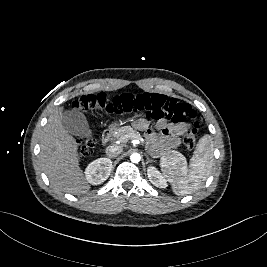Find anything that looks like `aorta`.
Returning <instances> with one entry per match:
<instances>
[{
	"instance_id": "762f6f07",
	"label": "aorta",
	"mask_w": 267,
	"mask_h": 267,
	"mask_svg": "<svg viewBox=\"0 0 267 267\" xmlns=\"http://www.w3.org/2000/svg\"><path fill=\"white\" fill-rule=\"evenodd\" d=\"M130 160L131 162L133 163H139L140 160H141V156L139 153H133L131 156H130Z\"/></svg>"
}]
</instances>
